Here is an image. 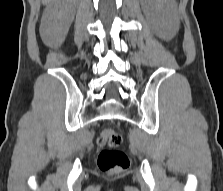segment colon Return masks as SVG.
<instances>
[{
  "mask_svg": "<svg viewBox=\"0 0 223 191\" xmlns=\"http://www.w3.org/2000/svg\"><path fill=\"white\" fill-rule=\"evenodd\" d=\"M122 135L113 130H105L98 139L102 147L97 158L98 168L105 173L124 172L130 166L127 154L119 149Z\"/></svg>",
  "mask_w": 223,
  "mask_h": 191,
  "instance_id": "5ec220e1",
  "label": "colon"
}]
</instances>
